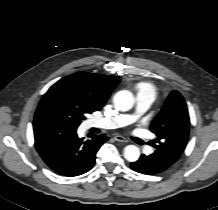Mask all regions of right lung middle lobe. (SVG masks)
Masks as SVG:
<instances>
[{
    "mask_svg": "<svg viewBox=\"0 0 218 210\" xmlns=\"http://www.w3.org/2000/svg\"><path fill=\"white\" fill-rule=\"evenodd\" d=\"M92 110L79 99L63 89L52 86L42 97L35 112V120L51 119L66 123L77 129L85 115Z\"/></svg>",
    "mask_w": 218,
    "mask_h": 210,
    "instance_id": "1",
    "label": "right lung middle lobe"
}]
</instances>
